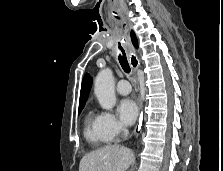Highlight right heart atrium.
<instances>
[{"label":"right heart atrium","mask_w":223,"mask_h":171,"mask_svg":"<svg viewBox=\"0 0 223 171\" xmlns=\"http://www.w3.org/2000/svg\"><path fill=\"white\" fill-rule=\"evenodd\" d=\"M101 129L109 141L116 139L123 131V126L119 120L110 112L99 114Z\"/></svg>","instance_id":"right-heart-atrium-1"}]
</instances>
